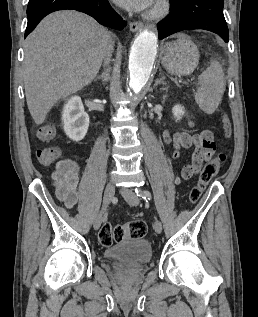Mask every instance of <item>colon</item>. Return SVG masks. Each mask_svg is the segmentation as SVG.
I'll return each instance as SVG.
<instances>
[{
	"label": "colon",
	"mask_w": 258,
	"mask_h": 317,
	"mask_svg": "<svg viewBox=\"0 0 258 317\" xmlns=\"http://www.w3.org/2000/svg\"><path fill=\"white\" fill-rule=\"evenodd\" d=\"M221 128L224 136L229 138L232 134V126L228 116L223 115L220 119ZM61 155L58 147H50L39 149L36 153L37 159L44 165H49L56 161ZM226 156L224 153H219L214 159L209 161L203 168L199 181L190 192L189 202L195 203L201 197L203 191L219 173L222 163ZM147 226L142 221H130L123 225L113 226L106 222L102 225L98 233L99 241L104 246H111L113 243L121 242L124 239H140L145 236Z\"/></svg>",
	"instance_id": "colon-1"
}]
</instances>
